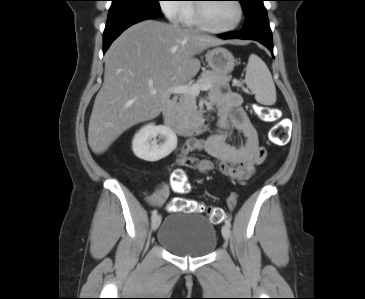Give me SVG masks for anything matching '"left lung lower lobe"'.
I'll return each mask as SVG.
<instances>
[{
	"mask_svg": "<svg viewBox=\"0 0 365 299\" xmlns=\"http://www.w3.org/2000/svg\"><path fill=\"white\" fill-rule=\"evenodd\" d=\"M222 39H245L256 40L267 47L273 55V41L272 32L269 26L266 9H261L249 17H247L246 24L241 31H233L219 35Z\"/></svg>",
	"mask_w": 365,
	"mask_h": 299,
	"instance_id": "1",
	"label": "left lung lower lobe"
}]
</instances>
